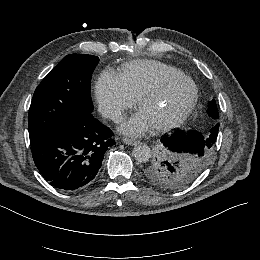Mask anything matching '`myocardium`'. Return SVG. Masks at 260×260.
<instances>
[{
	"mask_svg": "<svg viewBox=\"0 0 260 260\" xmlns=\"http://www.w3.org/2000/svg\"><path fill=\"white\" fill-rule=\"evenodd\" d=\"M185 80L189 82L193 88V93L184 108L174 117L169 118L163 122L153 125L155 131H165L179 126L190 114L194 106L199 99V91L194 81L187 75L181 73L176 76L164 77L155 81L150 87H148L139 97L138 105L142 106L151 97L159 94L167 85L172 84L176 81Z\"/></svg>",
	"mask_w": 260,
	"mask_h": 260,
	"instance_id": "myocardium-1",
	"label": "myocardium"
}]
</instances>
